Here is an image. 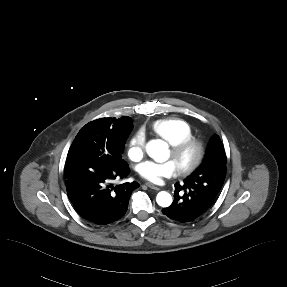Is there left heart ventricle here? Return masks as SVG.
Returning <instances> with one entry per match:
<instances>
[{
	"instance_id": "1",
	"label": "left heart ventricle",
	"mask_w": 287,
	"mask_h": 287,
	"mask_svg": "<svg viewBox=\"0 0 287 287\" xmlns=\"http://www.w3.org/2000/svg\"><path fill=\"white\" fill-rule=\"evenodd\" d=\"M192 156H193V154L192 153H188L185 157H184V161H188V160H190L191 158H192ZM170 158H172V155H171V153H170ZM175 162V161H174ZM175 164L177 165V167H178V164L175 162Z\"/></svg>"
}]
</instances>
